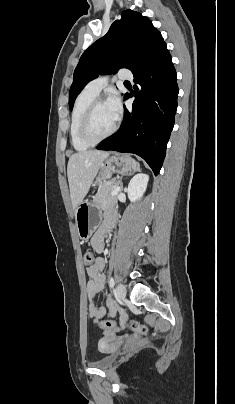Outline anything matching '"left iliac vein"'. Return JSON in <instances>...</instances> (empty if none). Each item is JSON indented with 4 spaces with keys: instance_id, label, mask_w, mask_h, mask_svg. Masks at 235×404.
<instances>
[{
    "instance_id": "1",
    "label": "left iliac vein",
    "mask_w": 235,
    "mask_h": 404,
    "mask_svg": "<svg viewBox=\"0 0 235 404\" xmlns=\"http://www.w3.org/2000/svg\"><path fill=\"white\" fill-rule=\"evenodd\" d=\"M117 298L120 302H122L126 297V288L123 284H118L116 287Z\"/></svg>"
}]
</instances>
